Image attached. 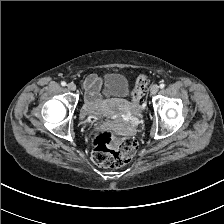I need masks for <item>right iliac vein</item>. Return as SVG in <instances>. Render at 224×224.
I'll return each mask as SVG.
<instances>
[{
  "mask_svg": "<svg viewBox=\"0 0 224 224\" xmlns=\"http://www.w3.org/2000/svg\"><path fill=\"white\" fill-rule=\"evenodd\" d=\"M67 88H68V90H70V91H75L76 90V85L74 84V83H68L67 84Z\"/></svg>",
  "mask_w": 224,
  "mask_h": 224,
  "instance_id": "1",
  "label": "right iliac vein"
}]
</instances>
